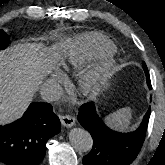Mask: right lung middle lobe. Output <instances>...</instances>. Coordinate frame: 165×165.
<instances>
[{"label":"right lung middle lobe","instance_id":"1","mask_svg":"<svg viewBox=\"0 0 165 165\" xmlns=\"http://www.w3.org/2000/svg\"><path fill=\"white\" fill-rule=\"evenodd\" d=\"M9 45V37L7 34L3 31L0 30V49H4Z\"/></svg>","mask_w":165,"mask_h":165}]
</instances>
